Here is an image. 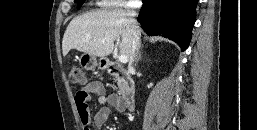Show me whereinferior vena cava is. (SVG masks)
Returning a JSON list of instances; mask_svg holds the SVG:
<instances>
[{
	"label": "inferior vena cava",
	"instance_id": "602c4592",
	"mask_svg": "<svg viewBox=\"0 0 257 130\" xmlns=\"http://www.w3.org/2000/svg\"><path fill=\"white\" fill-rule=\"evenodd\" d=\"M126 13L129 17H135L136 16V13L134 11H131V10H128ZM130 22H131L132 38H131V54H130V58H129V69H132L133 68V63H134L135 58H136L137 50L140 46L141 32H140L139 26H138L135 19L132 18L130 20Z\"/></svg>",
	"mask_w": 257,
	"mask_h": 130
}]
</instances>
